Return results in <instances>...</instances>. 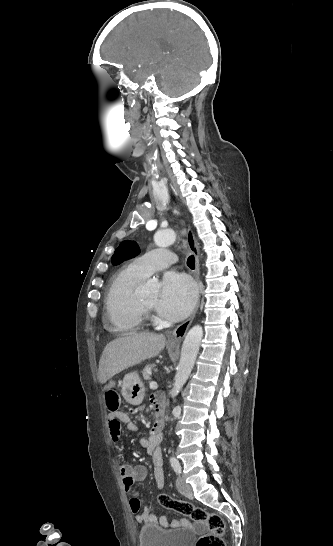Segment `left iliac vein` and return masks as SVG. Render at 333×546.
<instances>
[{"mask_svg":"<svg viewBox=\"0 0 333 546\" xmlns=\"http://www.w3.org/2000/svg\"><path fill=\"white\" fill-rule=\"evenodd\" d=\"M176 486L178 491L184 495H188L192 493L191 486L187 484L185 480L180 476L176 480Z\"/></svg>","mask_w":333,"mask_h":546,"instance_id":"obj_1","label":"left iliac vein"}]
</instances>
